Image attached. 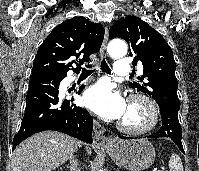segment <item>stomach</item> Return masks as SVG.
<instances>
[{
    "label": "stomach",
    "mask_w": 199,
    "mask_h": 171,
    "mask_svg": "<svg viewBox=\"0 0 199 171\" xmlns=\"http://www.w3.org/2000/svg\"><path fill=\"white\" fill-rule=\"evenodd\" d=\"M121 168L143 171L155 160V148L147 139H120L101 148Z\"/></svg>",
    "instance_id": "stomach-1"
}]
</instances>
